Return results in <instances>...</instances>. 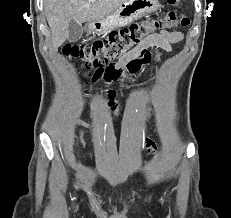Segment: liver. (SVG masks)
<instances>
[{
  "mask_svg": "<svg viewBox=\"0 0 231 218\" xmlns=\"http://www.w3.org/2000/svg\"><path fill=\"white\" fill-rule=\"evenodd\" d=\"M124 2L125 0H44L54 50L68 39V26L72 19L80 24L103 20Z\"/></svg>",
  "mask_w": 231,
  "mask_h": 218,
  "instance_id": "liver-1",
  "label": "liver"
}]
</instances>
